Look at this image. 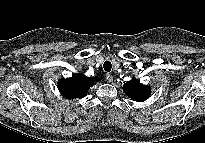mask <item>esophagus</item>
I'll return each instance as SVG.
<instances>
[{"mask_svg":"<svg viewBox=\"0 0 205 143\" xmlns=\"http://www.w3.org/2000/svg\"><path fill=\"white\" fill-rule=\"evenodd\" d=\"M106 79L109 83L113 82V76L109 73L106 74Z\"/></svg>","mask_w":205,"mask_h":143,"instance_id":"34e87169","label":"esophagus"}]
</instances>
